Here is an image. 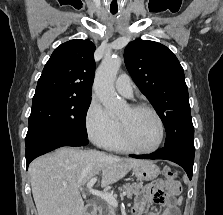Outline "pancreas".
I'll return each mask as SVG.
<instances>
[{
  "mask_svg": "<svg viewBox=\"0 0 223 215\" xmlns=\"http://www.w3.org/2000/svg\"><path fill=\"white\" fill-rule=\"evenodd\" d=\"M141 184L136 183H125V185H122V187H118L120 191H127V197H132V195H137V193H140V189H142ZM106 207L108 211V215H116L115 213V207L113 205H110L108 201H105V205L101 207V209H104Z\"/></svg>",
  "mask_w": 223,
  "mask_h": 215,
  "instance_id": "pancreas-1",
  "label": "pancreas"
}]
</instances>
